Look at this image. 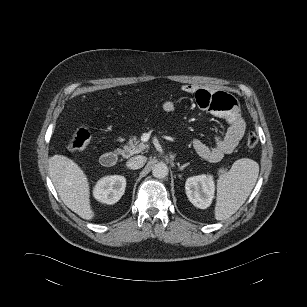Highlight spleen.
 Instances as JSON below:
<instances>
[{
	"label": "spleen",
	"mask_w": 307,
	"mask_h": 307,
	"mask_svg": "<svg viewBox=\"0 0 307 307\" xmlns=\"http://www.w3.org/2000/svg\"><path fill=\"white\" fill-rule=\"evenodd\" d=\"M214 210L216 220H225L244 204L259 174L256 161L242 158L235 161L229 171L220 170Z\"/></svg>",
	"instance_id": "spleen-1"
}]
</instances>
